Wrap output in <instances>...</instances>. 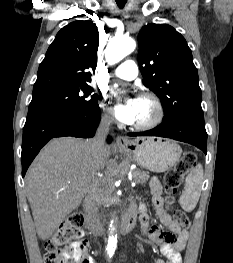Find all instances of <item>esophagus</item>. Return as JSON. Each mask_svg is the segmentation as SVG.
Segmentation results:
<instances>
[{
  "label": "esophagus",
  "instance_id": "esophagus-1",
  "mask_svg": "<svg viewBox=\"0 0 233 263\" xmlns=\"http://www.w3.org/2000/svg\"><path fill=\"white\" fill-rule=\"evenodd\" d=\"M129 143V140L123 136H119L116 139V146L119 148L125 147Z\"/></svg>",
  "mask_w": 233,
  "mask_h": 263
}]
</instances>
